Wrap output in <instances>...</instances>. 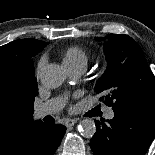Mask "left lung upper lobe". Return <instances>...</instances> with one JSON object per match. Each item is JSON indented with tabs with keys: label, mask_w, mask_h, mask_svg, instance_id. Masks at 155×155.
<instances>
[{
	"label": "left lung upper lobe",
	"mask_w": 155,
	"mask_h": 155,
	"mask_svg": "<svg viewBox=\"0 0 155 155\" xmlns=\"http://www.w3.org/2000/svg\"><path fill=\"white\" fill-rule=\"evenodd\" d=\"M106 38L104 52L108 66L95 87L97 94L105 95L100 101L112 106L114 112L155 104V77L139 44L125 34H110Z\"/></svg>",
	"instance_id": "5c2ea615"
}]
</instances>
